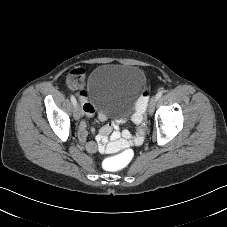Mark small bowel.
Instances as JSON below:
<instances>
[{
	"instance_id": "c3829d8e",
	"label": "small bowel",
	"mask_w": 227,
	"mask_h": 227,
	"mask_svg": "<svg viewBox=\"0 0 227 227\" xmlns=\"http://www.w3.org/2000/svg\"><path fill=\"white\" fill-rule=\"evenodd\" d=\"M76 74L79 75L80 79L83 78L85 70L83 68H78ZM79 99L82 103V109L85 117L90 118L96 114V109L93 104L88 100L86 92L81 90L78 94ZM107 120L105 113H98L97 122H104ZM86 122L80 125L79 133L82 142L88 152L94 153L96 151L105 152H116L119 150H124L130 146H139L142 144L145 136L143 130H139L136 136H132L129 131H119L118 123L116 121L109 124H105L95 140L86 139Z\"/></svg>"
}]
</instances>
